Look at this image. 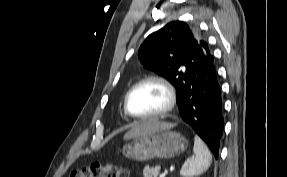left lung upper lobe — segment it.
<instances>
[{
    "label": "left lung upper lobe",
    "instance_id": "1",
    "mask_svg": "<svg viewBox=\"0 0 287 177\" xmlns=\"http://www.w3.org/2000/svg\"><path fill=\"white\" fill-rule=\"evenodd\" d=\"M144 67L171 82L177 103L183 90L212 56L205 41L183 21H173L150 34L138 53Z\"/></svg>",
    "mask_w": 287,
    "mask_h": 177
}]
</instances>
